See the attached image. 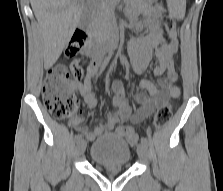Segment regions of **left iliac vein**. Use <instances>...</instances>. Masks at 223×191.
<instances>
[{
  "label": "left iliac vein",
  "mask_w": 223,
  "mask_h": 191,
  "mask_svg": "<svg viewBox=\"0 0 223 191\" xmlns=\"http://www.w3.org/2000/svg\"><path fill=\"white\" fill-rule=\"evenodd\" d=\"M137 154L142 161H145L147 158V146L143 143L139 144L137 147Z\"/></svg>",
  "instance_id": "left-iliac-vein-1"
}]
</instances>
